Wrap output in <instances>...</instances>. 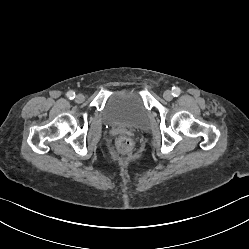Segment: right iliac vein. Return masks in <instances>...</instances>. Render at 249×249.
Wrapping results in <instances>:
<instances>
[{
    "mask_svg": "<svg viewBox=\"0 0 249 249\" xmlns=\"http://www.w3.org/2000/svg\"><path fill=\"white\" fill-rule=\"evenodd\" d=\"M84 99H85V97H84L83 94H78V95L76 96V98H75L76 102H78V103L83 102Z\"/></svg>",
    "mask_w": 249,
    "mask_h": 249,
    "instance_id": "1",
    "label": "right iliac vein"
}]
</instances>
